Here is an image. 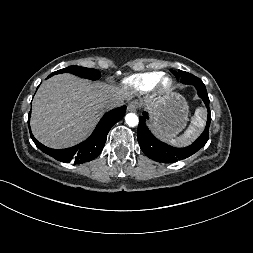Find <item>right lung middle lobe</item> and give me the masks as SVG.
<instances>
[{"label":"right lung middle lobe","mask_w":253,"mask_h":253,"mask_svg":"<svg viewBox=\"0 0 253 253\" xmlns=\"http://www.w3.org/2000/svg\"><path fill=\"white\" fill-rule=\"evenodd\" d=\"M59 73H72V74H76L78 76H81L87 79H92V80H97L100 78L99 71L95 69H91V68L80 67V66H69L67 68H64L52 73L51 76L55 74H59Z\"/></svg>","instance_id":"right-lung-middle-lobe-1"}]
</instances>
